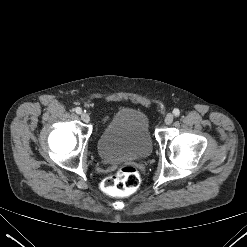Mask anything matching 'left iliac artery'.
Returning <instances> with one entry per match:
<instances>
[{
    "mask_svg": "<svg viewBox=\"0 0 247 247\" xmlns=\"http://www.w3.org/2000/svg\"><path fill=\"white\" fill-rule=\"evenodd\" d=\"M173 114H174L175 116H179V115H180V110L177 109V108H175V109L173 110Z\"/></svg>",
    "mask_w": 247,
    "mask_h": 247,
    "instance_id": "44dca946",
    "label": "left iliac artery"
}]
</instances>
